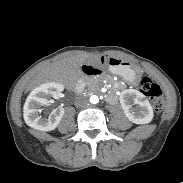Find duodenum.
<instances>
[{"label": "duodenum", "instance_id": "duodenum-1", "mask_svg": "<svg viewBox=\"0 0 183 183\" xmlns=\"http://www.w3.org/2000/svg\"><path fill=\"white\" fill-rule=\"evenodd\" d=\"M100 74H101V70L95 66H84L83 67L82 75L84 77H96V76H99ZM83 76H79L77 78L78 82H76L74 84V87L76 89H79L81 87L80 83H83L85 81V78Z\"/></svg>", "mask_w": 183, "mask_h": 183}]
</instances>
